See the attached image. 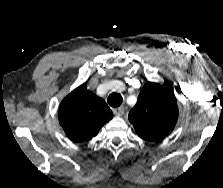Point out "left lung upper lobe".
I'll return each mask as SVG.
<instances>
[{
	"mask_svg": "<svg viewBox=\"0 0 223 188\" xmlns=\"http://www.w3.org/2000/svg\"><path fill=\"white\" fill-rule=\"evenodd\" d=\"M177 117V101L172 90L153 82L144 85L128 116L137 134L146 141L164 139L174 129Z\"/></svg>",
	"mask_w": 223,
	"mask_h": 188,
	"instance_id": "left-lung-upper-lobe-1",
	"label": "left lung upper lobe"
}]
</instances>
